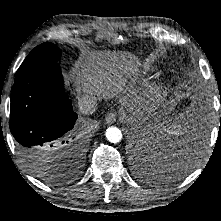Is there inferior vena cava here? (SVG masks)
I'll list each match as a JSON object with an SVG mask.
<instances>
[{
    "label": "inferior vena cava",
    "instance_id": "obj_1",
    "mask_svg": "<svg viewBox=\"0 0 221 221\" xmlns=\"http://www.w3.org/2000/svg\"><path fill=\"white\" fill-rule=\"evenodd\" d=\"M96 106L97 100L93 96L85 95L78 100V108L82 114L89 115L94 113Z\"/></svg>",
    "mask_w": 221,
    "mask_h": 221
}]
</instances>
